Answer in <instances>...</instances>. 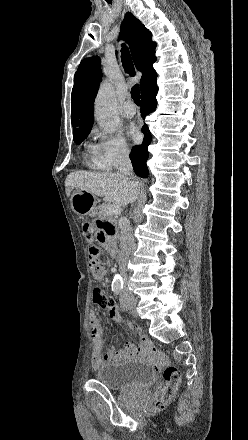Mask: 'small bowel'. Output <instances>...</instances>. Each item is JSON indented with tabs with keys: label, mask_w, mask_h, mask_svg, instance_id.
Wrapping results in <instances>:
<instances>
[{
	"label": "small bowel",
	"mask_w": 248,
	"mask_h": 440,
	"mask_svg": "<svg viewBox=\"0 0 248 440\" xmlns=\"http://www.w3.org/2000/svg\"><path fill=\"white\" fill-rule=\"evenodd\" d=\"M98 290L102 292L104 298L96 297L94 291V302L103 308L111 318L119 320V313L113 302L105 296L101 289ZM89 324L92 338L91 363L93 368H99L103 364L114 363L124 359H146L155 366H160L165 362L162 352L143 334L140 336L141 342L139 346L127 343L124 348H111L104 352L105 338L94 311H91L89 314Z\"/></svg>",
	"instance_id": "small-bowel-1"
}]
</instances>
